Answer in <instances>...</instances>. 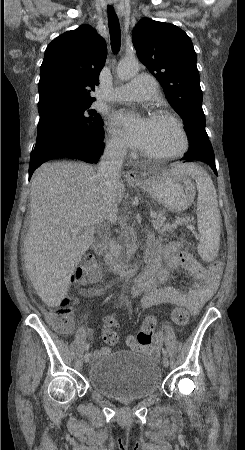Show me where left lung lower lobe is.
<instances>
[{"label": "left lung lower lobe", "instance_id": "left-lung-lower-lobe-1", "mask_svg": "<svg viewBox=\"0 0 245 450\" xmlns=\"http://www.w3.org/2000/svg\"><path fill=\"white\" fill-rule=\"evenodd\" d=\"M181 160H198L207 163L217 175L214 152L211 148L200 149L199 152L189 154L187 153Z\"/></svg>", "mask_w": 245, "mask_h": 450}]
</instances>
